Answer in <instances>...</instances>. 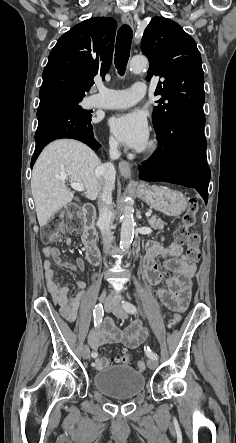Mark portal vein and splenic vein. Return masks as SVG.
Wrapping results in <instances>:
<instances>
[{"label": "portal vein and splenic vein", "mask_w": 236, "mask_h": 443, "mask_svg": "<svg viewBox=\"0 0 236 443\" xmlns=\"http://www.w3.org/2000/svg\"><path fill=\"white\" fill-rule=\"evenodd\" d=\"M61 181H62V182H65V178H61ZM70 186H71L74 190H77V191H80V192H82V191L85 190L84 186H83L82 184H79V183L71 182V183H70ZM145 216H146V217H150V216H151V213H150V212H146V213H145Z\"/></svg>", "instance_id": "obj_1"}]
</instances>
